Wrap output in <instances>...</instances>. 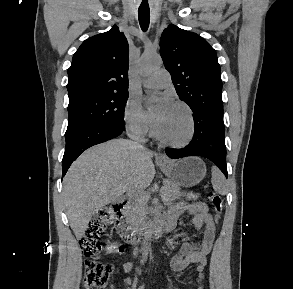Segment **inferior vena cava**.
<instances>
[{"label": "inferior vena cava", "instance_id": "obj_1", "mask_svg": "<svg viewBox=\"0 0 293 289\" xmlns=\"http://www.w3.org/2000/svg\"><path fill=\"white\" fill-rule=\"evenodd\" d=\"M127 134L129 136V138L132 140V142H134L135 144H139V143H142L144 141L142 133L139 130L137 131L136 129H131L130 128L127 131Z\"/></svg>", "mask_w": 293, "mask_h": 289}]
</instances>
